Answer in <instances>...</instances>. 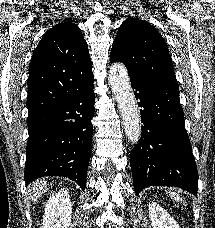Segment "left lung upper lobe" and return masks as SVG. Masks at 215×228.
Returning a JSON list of instances; mask_svg holds the SVG:
<instances>
[{
  "label": "left lung upper lobe",
  "mask_w": 215,
  "mask_h": 228,
  "mask_svg": "<svg viewBox=\"0 0 215 228\" xmlns=\"http://www.w3.org/2000/svg\"><path fill=\"white\" fill-rule=\"evenodd\" d=\"M110 61L124 63L132 79L175 81L171 56L164 39L151 24L137 18H128L119 27Z\"/></svg>",
  "instance_id": "1"
}]
</instances>
